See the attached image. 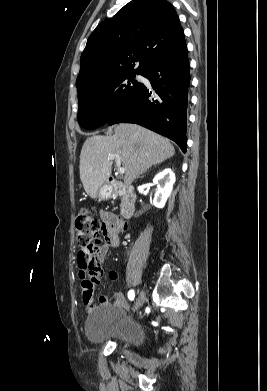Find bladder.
I'll return each instance as SVG.
<instances>
[{
	"mask_svg": "<svg viewBox=\"0 0 267 391\" xmlns=\"http://www.w3.org/2000/svg\"><path fill=\"white\" fill-rule=\"evenodd\" d=\"M85 334L94 344L112 341L138 346L144 338L140 323L127 316L122 306L115 304L97 306L87 320Z\"/></svg>",
	"mask_w": 267,
	"mask_h": 391,
	"instance_id": "bladder-1",
	"label": "bladder"
}]
</instances>
